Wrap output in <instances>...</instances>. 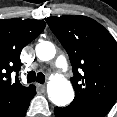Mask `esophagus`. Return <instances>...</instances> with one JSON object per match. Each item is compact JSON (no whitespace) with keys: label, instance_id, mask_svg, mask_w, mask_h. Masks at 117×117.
Segmentation results:
<instances>
[{"label":"esophagus","instance_id":"obj_1","mask_svg":"<svg viewBox=\"0 0 117 117\" xmlns=\"http://www.w3.org/2000/svg\"><path fill=\"white\" fill-rule=\"evenodd\" d=\"M37 86L41 92H44L46 90V86L44 84H37Z\"/></svg>","mask_w":117,"mask_h":117}]
</instances>
